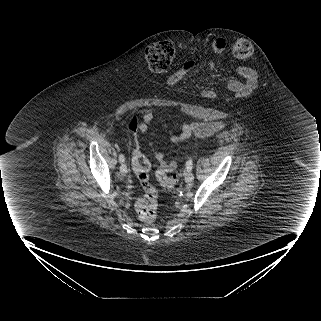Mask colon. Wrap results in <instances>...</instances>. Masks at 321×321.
I'll return each instance as SVG.
<instances>
[{"label":"colon","mask_w":321,"mask_h":321,"mask_svg":"<svg viewBox=\"0 0 321 321\" xmlns=\"http://www.w3.org/2000/svg\"><path fill=\"white\" fill-rule=\"evenodd\" d=\"M252 53V45L245 38H239L233 46V54L237 59H245ZM145 60L148 66L155 72H163L168 69L175 57V47L170 42H159L148 46L145 50ZM138 125L137 114H131L127 121V128L135 130ZM133 171L144 189V194L135 203V209L139 219L151 224L157 219V189L150 184L149 168L147 158L136 145L132 158ZM161 184L166 188H173L179 179V175H158Z\"/></svg>","instance_id":"colon-1"}]
</instances>
